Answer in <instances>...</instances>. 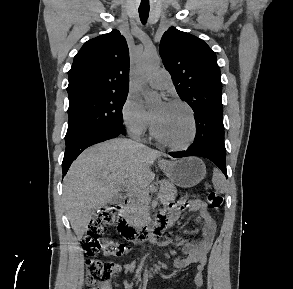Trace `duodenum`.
I'll use <instances>...</instances> for the list:
<instances>
[{"label":"duodenum","mask_w":293,"mask_h":289,"mask_svg":"<svg viewBox=\"0 0 293 289\" xmlns=\"http://www.w3.org/2000/svg\"><path fill=\"white\" fill-rule=\"evenodd\" d=\"M129 204V198H125L119 205H117L118 216L116 228L125 239L142 244L144 242H152L162 235L167 226L166 221L162 218H157L152 225H147L140 229L132 226L127 217Z\"/></svg>","instance_id":"obj_1"}]
</instances>
